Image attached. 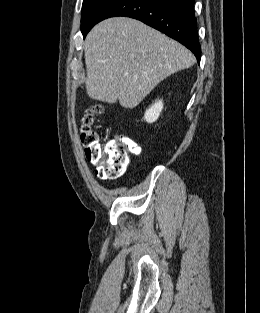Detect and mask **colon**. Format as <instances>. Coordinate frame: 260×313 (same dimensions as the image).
<instances>
[{
	"instance_id": "1",
	"label": "colon",
	"mask_w": 260,
	"mask_h": 313,
	"mask_svg": "<svg viewBox=\"0 0 260 313\" xmlns=\"http://www.w3.org/2000/svg\"><path fill=\"white\" fill-rule=\"evenodd\" d=\"M101 104L91 106L82 117L80 139L87 160L96 167L97 176L110 179L121 176L130 161L133 144L123 135L111 137L101 143L98 134L92 129L93 118L101 114Z\"/></svg>"
}]
</instances>
